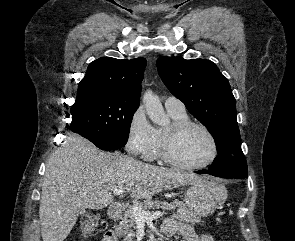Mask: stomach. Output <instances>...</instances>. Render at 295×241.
<instances>
[{"label":"stomach","mask_w":295,"mask_h":241,"mask_svg":"<svg viewBox=\"0 0 295 241\" xmlns=\"http://www.w3.org/2000/svg\"><path fill=\"white\" fill-rule=\"evenodd\" d=\"M227 190L213 179L190 184L185 192L187 208L199 217H206L216 210L218 204L225 202Z\"/></svg>","instance_id":"stomach-1"}]
</instances>
